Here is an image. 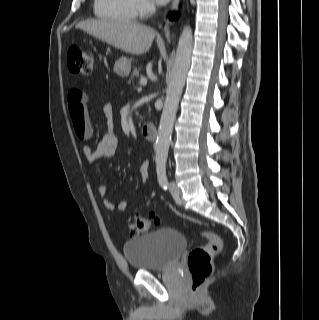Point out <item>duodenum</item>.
<instances>
[{"instance_id": "410a0bca", "label": "duodenum", "mask_w": 319, "mask_h": 320, "mask_svg": "<svg viewBox=\"0 0 319 320\" xmlns=\"http://www.w3.org/2000/svg\"><path fill=\"white\" fill-rule=\"evenodd\" d=\"M142 136L148 141H155L158 136L157 127L153 123H146L141 129Z\"/></svg>"}]
</instances>
